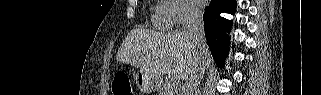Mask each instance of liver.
I'll return each mask as SVG.
<instances>
[{"label": "liver", "mask_w": 321, "mask_h": 95, "mask_svg": "<svg viewBox=\"0 0 321 95\" xmlns=\"http://www.w3.org/2000/svg\"><path fill=\"white\" fill-rule=\"evenodd\" d=\"M197 56V47L188 31L164 34L140 28L128 33L116 59L139 68L153 79L171 74L183 81L195 70ZM204 59L206 66L212 62L207 45Z\"/></svg>", "instance_id": "1"}]
</instances>
